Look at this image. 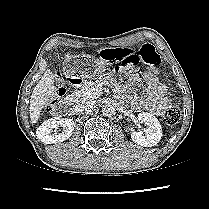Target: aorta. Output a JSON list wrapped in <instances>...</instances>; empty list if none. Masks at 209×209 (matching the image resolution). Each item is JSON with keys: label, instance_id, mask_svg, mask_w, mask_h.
Masks as SVG:
<instances>
[{"label": "aorta", "instance_id": "obj_1", "mask_svg": "<svg viewBox=\"0 0 209 209\" xmlns=\"http://www.w3.org/2000/svg\"><path fill=\"white\" fill-rule=\"evenodd\" d=\"M114 112H115V108L110 104H106L102 108V113L105 116H111L112 114H114Z\"/></svg>", "mask_w": 209, "mask_h": 209}]
</instances>
